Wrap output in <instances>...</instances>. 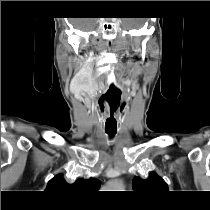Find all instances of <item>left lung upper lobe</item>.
<instances>
[{"label":"left lung upper lobe","mask_w":210,"mask_h":210,"mask_svg":"<svg viewBox=\"0 0 210 210\" xmlns=\"http://www.w3.org/2000/svg\"><path fill=\"white\" fill-rule=\"evenodd\" d=\"M133 189L142 193H158L167 191L168 186L160 176L152 172L147 179H142L135 176Z\"/></svg>","instance_id":"left-lung-upper-lobe-1"}]
</instances>
